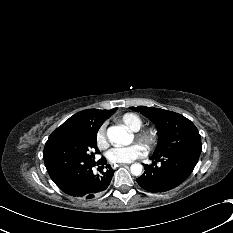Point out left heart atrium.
I'll list each match as a JSON object with an SVG mask.
<instances>
[{"label":"left heart atrium","instance_id":"left-heart-atrium-1","mask_svg":"<svg viewBox=\"0 0 233 233\" xmlns=\"http://www.w3.org/2000/svg\"><path fill=\"white\" fill-rule=\"evenodd\" d=\"M145 152V147L140 143H134L125 147H116L109 151L108 158L114 163H130Z\"/></svg>","mask_w":233,"mask_h":233}]
</instances>
